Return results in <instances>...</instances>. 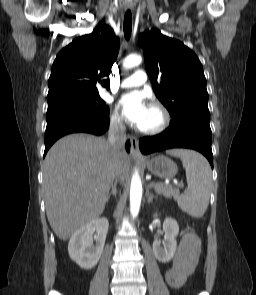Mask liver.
I'll return each mask as SVG.
<instances>
[{
	"label": "liver",
	"mask_w": 256,
	"mask_h": 295,
	"mask_svg": "<svg viewBox=\"0 0 256 295\" xmlns=\"http://www.w3.org/2000/svg\"><path fill=\"white\" fill-rule=\"evenodd\" d=\"M128 156L116 163L108 141L89 134H71L58 140L43 162L46 214L54 233L68 240L79 228L104 211L115 171L124 181Z\"/></svg>",
	"instance_id": "1"
}]
</instances>
